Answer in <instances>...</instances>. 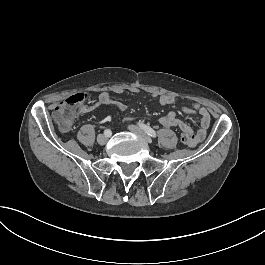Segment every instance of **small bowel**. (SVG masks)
<instances>
[{
    "mask_svg": "<svg viewBox=\"0 0 265 265\" xmlns=\"http://www.w3.org/2000/svg\"><path fill=\"white\" fill-rule=\"evenodd\" d=\"M134 93H138V89H133L132 90ZM114 92L116 94H122L124 92V89L121 87H117L114 89ZM152 97L158 98V101L160 105L162 106H167V105H172L177 102V98L173 95L170 94H162V95H157L155 93L151 94ZM104 105H109L114 107L115 109L119 111H124L126 110L127 106L125 103L113 100L107 91H103L99 94L98 97V103L95 105H84L79 107V114H86L90 111H92L94 108L97 106H104ZM181 111L188 115L192 116L198 119L199 123V128L198 130L194 131L192 127H190L187 123L183 122L181 119L178 117V113L175 111H171L165 116H162L159 118V124L163 127H177L181 130L182 133H186L190 136V138L193 141V144L191 146H196V144L200 143L206 136L207 131L210 126L211 122V117L208 112V110L196 103H188L184 104L181 106ZM126 122L130 121L129 117L125 118Z\"/></svg>",
    "mask_w": 265,
    "mask_h": 265,
    "instance_id": "obj_1",
    "label": "small bowel"
}]
</instances>
